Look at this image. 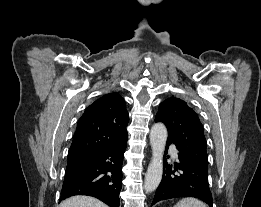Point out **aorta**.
I'll list each match as a JSON object with an SVG mask.
<instances>
[{
  "instance_id": "1",
  "label": "aorta",
  "mask_w": 261,
  "mask_h": 207,
  "mask_svg": "<svg viewBox=\"0 0 261 207\" xmlns=\"http://www.w3.org/2000/svg\"><path fill=\"white\" fill-rule=\"evenodd\" d=\"M167 140V129L164 124L156 123L150 132L152 159L145 175L144 189L153 192L161 182L163 174V154Z\"/></svg>"
}]
</instances>
